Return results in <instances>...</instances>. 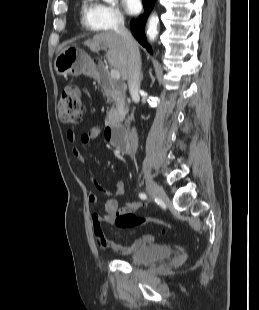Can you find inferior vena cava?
I'll return each mask as SVG.
<instances>
[{"label":"inferior vena cava","instance_id":"obj_1","mask_svg":"<svg viewBox=\"0 0 259 310\" xmlns=\"http://www.w3.org/2000/svg\"><path fill=\"white\" fill-rule=\"evenodd\" d=\"M115 32L119 34L126 45L129 53V73L128 86L131 97L134 99L138 96V91L141 83V58L136 41L133 39L131 33L126 29L124 19L117 21ZM131 139L134 147L137 148V133L135 128L131 131Z\"/></svg>","mask_w":259,"mask_h":310}]
</instances>
